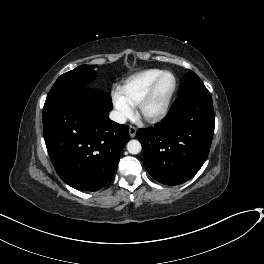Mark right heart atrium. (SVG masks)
I'll list each match as a JSON object with an SVG mask.
<instances>
[{
    "label": "right heart atrium",
    "instance_id": "right-heart-atrium-1",
    "mask_svg": "<svg viewBox=\"0 0 264 264\" xmlns=\"http://www.w3.org/2000/svg\"><path fill=\"white\" fill-rule=\"evenodd\" d=\"M113 105L119 121H125L133 115L134 107L119 91L113 93Z\"/></svg>",
    "mask_w": 264,
    "mask_h": 264
}]
</instances>
